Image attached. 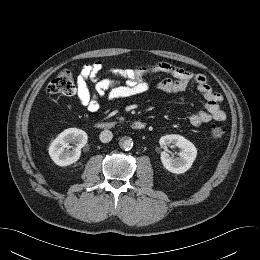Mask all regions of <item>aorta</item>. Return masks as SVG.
<instances>
[{
	"mask_svg": "<svg viewBox=\"0 0 260 260\" xmlns=\"http://www.w3.org/2000/svg\"><path fill=\"white\" fill-rule=\"evenodd\" d=\"M119 145L124 150H130L133 147V140L131 138H122Z\"/></svg>",
	"mask_w": 260,
	"mask_h": 260,
	"instance_id": "1",
	"label": "aorta"
}]
</instances>
